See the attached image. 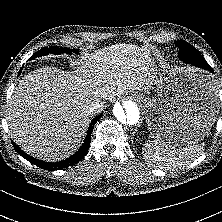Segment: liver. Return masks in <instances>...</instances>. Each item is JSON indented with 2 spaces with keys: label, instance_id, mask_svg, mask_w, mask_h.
Returning a JSON list of instances; mask_svg holds the SVG:
<instances>
[{
  "label": "liver",
  "instance_id": "1",
  "mask_svg": "<svg viewBox=\"0 0 222 222\" xmlns=\"http://www.w3.org/2000/svg\"><path fill=\"white\" fill-rule=\"evenodd\" d=\"M154 61L138 46L116 44L86 57L73 72L44 67L19 81L9 101L8 124L26 153L60 161L81 145L90 102L152 89Z\"/></svg>",
  "mask_w": 222,
  "mask_h": 222
}]
</instances>
